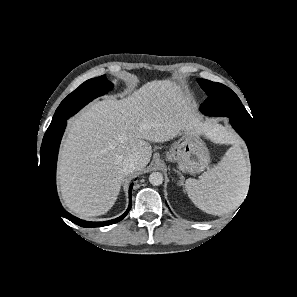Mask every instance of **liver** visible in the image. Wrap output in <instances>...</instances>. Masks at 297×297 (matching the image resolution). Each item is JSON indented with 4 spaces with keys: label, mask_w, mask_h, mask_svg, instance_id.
Here are the masks:
<instances>
[{
    "label": "liver",
    "mask_w": 297,
    "mask_h": 297,
    "mask_svg": "<svg viewBox=\"0 0 297 297\" xmlns=\"http://www.w3.org/2000/svg\"><path fill=\"white\" fill-rule=\"evenodd\" d=\"M211 133L191 109L175 82L157 80L122 100L91 103L68 121L60 150L58 185L65 206L82 216L105 214L126 176L123 162L139 159L135 173L149 163V142H165L184 129Z\"/></svg>",
    "instance_id": "6515ba94"
}]
</instances>
